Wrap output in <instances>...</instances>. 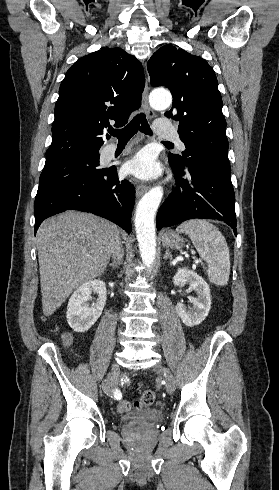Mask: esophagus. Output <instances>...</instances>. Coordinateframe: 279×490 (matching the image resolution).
Segmentation results:
<instances>
[{
	"mask_svg": "<svg viewBox=\"0 0 279 490\" xmlns=\"http://www.w3.org/2000/svg\"><path fill=\"white\" fill-rule=\"evenodd\" d=\"M148 94H149V86H148V81L146 80L144 92L142 94V105H143L148 117L153 118L155 116V112L150 108V106L148 104ZM146 190H147L146 185H137V188H136L137 198L142 197V195L146 192Z\"/></svg>",
	"mask_w": 279,
	"mask_h": 490,
	"instance_id": "34e87169",
	"label": "esophagus"
}]
</instances>
